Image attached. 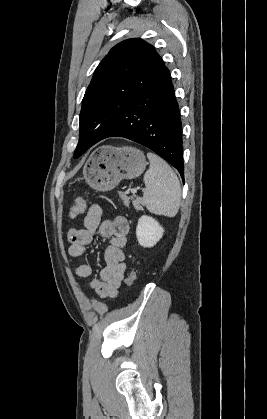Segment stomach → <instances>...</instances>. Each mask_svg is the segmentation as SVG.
Returning <instances> with one entry per match:
<instances>
[{
  "label": "stomach",
  "mask_w": 267,
  "mask_h": 419,
  "mask_svg": "<svg viewBox=\"0 0 267 419\" xmlns=\"http://www.w3.org/2000/svg\"><path fill=\"white\" fill-rule=\"evenodd\" d=\"M147 165L145 155L135 147L104 145L94 150L83 167V177L97 191L114 189L122 179L140 176Z\"/></svg>",
  "instance_id": "0dacf381"
}]
</instances>
